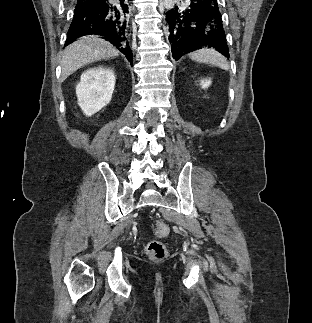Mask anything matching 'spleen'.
Segmentation results:
<instances>
[{
	"mask_svg": "<svg viewBox=\"0 0 312 323\" xmlns=\"http://www.w3.org/2000/svg\"><path fill=\"white\" fill-rule=\"evenodd\" d=\"M191 60H195V62H199V64H213V66H219L222 70H229V64L219 52H215V50H198V52H194V54H190Z\"/></svg>",
	"mask_w": 312,
	"mask_h": 323,
	"instance_id": "1",
	"label": "spleen"
}]
</instances>
